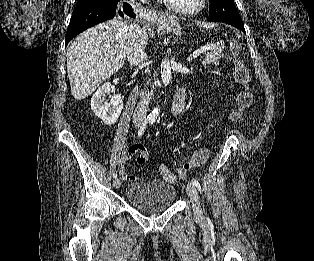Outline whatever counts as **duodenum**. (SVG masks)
Here are the masks:
<instances>
[{"mask_svg": "<svg viewBox=\"0 0 314 261\" xmlns=\"http://www.w3.org/2000/svg\"><path fill=\"white\" fill-rule=\"evenodd\" d=\"M185 100H186L185 91L181 88H178L172 100L173 110L182 111L185 107Z\"/></svg>", "mask_w": 314, "mask_h": 261, "instance_id": "1", "label": "duodenum"}]
</instances>
